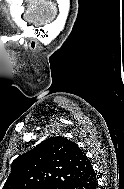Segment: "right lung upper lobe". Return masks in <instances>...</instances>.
<instances>
[{
	"label": "right lung upper lobe",
	"instance_id": "cb5924a9",
	"mask_svg": "<svg viewBox=\"0 0 124 189\" xmlns=\"http://www.w3.org/2000/svg\"><path fill=\"white\" fill-rule=\"evenodd\" d=\"M91 166L85 153L64 137H51L12 162L11 173L2 189H39L67 183Z\"/></svg>",
	"mask_w": 124,
	"mask_h": 189
}]
</instances>
